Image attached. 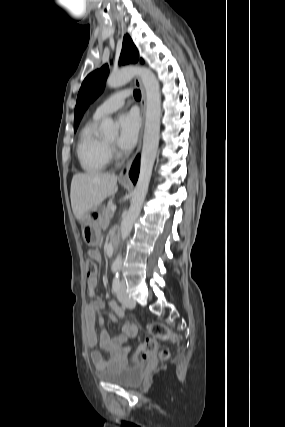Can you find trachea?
Wrapping results in <instances>:
<instances>
[{"instance_id":"1","label":"trachea","mask_w":285,"mask_h":427,"mask_svg":"<svg viewBox=\"0 0 285 427\" xmlns=\"http://www.w3.org/2000/svg\"><path fill=\"white\" fill-rule=\"evenodd\" d=\"M133 94H134V98L136 100H140L141 99V92H140V90H134Z\"/></svg>"}]
</instances>
